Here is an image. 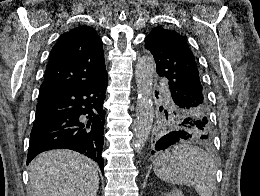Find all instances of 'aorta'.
I'll return each mask as SVG.
<instances>
[{
	"instance_id": "1",
	"label": "aorta",
	"mask_w": 260,
	"mask_h": 196,
	"mask_svg": "<svg viewBox=\"0 0 260 196\" xmlns=\"http://www.w3.org/2000/svg\"><path fill=\"white\" fill-rule=\"evenodd\" d=\"M155 62L152 56H141L136 64L135 77L137 85L136 120L133 124V144L142 148L150 134L153 124L152 85Z\"/></svg>"
}]
</instances>
